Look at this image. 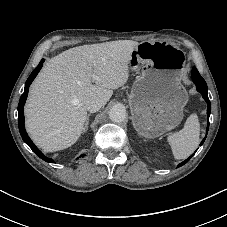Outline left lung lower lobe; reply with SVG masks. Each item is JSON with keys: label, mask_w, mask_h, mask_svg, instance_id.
Returning a JSON list of instances; mask_svg holds the SVG:
<instances>
[{"label": "left lung lower lobe", "mask_w": 227, "mask_h": 227, "mask_svg": "<svg viewBox=\"0 0 227 227\" xmlns=\"http://www.w3.org/2000/svg\"><path fill=\"white\" fill-rule=\"evenodd\" d=\"M192 78H193V82L194 84L196 85L197 87V91L200 92L204 98V100L206 101L207 103V116H208V121H207V129H206V136H207V133H208V129H209V115H210V112H211V103L209 101V98H208V93H207V84L205 82V80L203 78H199L197 75H192ZM206 137L202 140L201 144L202 145L205 141ZM194 154H192L189 158H187L185 161L181 162L178 167H181L183 166L184 164H186L190 159L191 157L193 156Z\"/></svg>", "instance_id": "obj_1"}]
</instances>
